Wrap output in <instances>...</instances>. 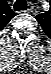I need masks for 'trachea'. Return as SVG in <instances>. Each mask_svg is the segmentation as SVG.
<instances>
[{"label": "trachea", "mask_w": 51, "mask_h": 74, "mask_svg": "<svg viewBox=\"0 0 51 74\" xmlns=\"http://www.w3.org/2000/svg\"><path fill=\"white\" fill-rule=\"evenodd\" d=\"M14 10L15 11H22L27 9V3L25 0H16L14 4Z\"/></svg>", "instance_id": "1"}]
</instances>
